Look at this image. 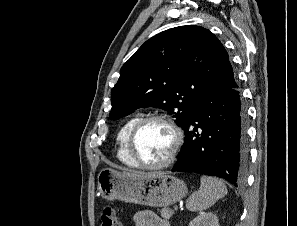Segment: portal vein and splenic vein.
Returning a JSON list of instances; mask_svg holds the SVG:
<instances>
[{
    "mask_svg": "<svg viewBox=\"0 0 297 226\" xmlns=\"http://www.w3.org/2000/svg\"><path fill=\"white\" fill-rule=\"evenodd\" d=\"M173 209L176 211L178 210V206L177 205H174Z\"/></svg>",
    "mask_w": 297,
    "mask_h": 226,
    "instance_id": "18ae733b",
    "label": "portal vein and splenic vein"
}]
</instances>
